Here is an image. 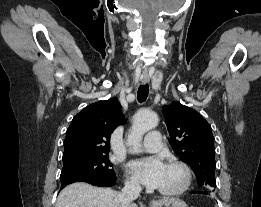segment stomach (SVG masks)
Masks as SVG:
<instances>
[{
	"mask_svg": "<svg viewBox=\"0 0 261 207\" xmlns=\"http://www.w3.org/2000/svg\"><path fill=\"white\" fill-rule=\"evenodd\" d=\"M151 207H188L187 204L178 198L166 197L161 200H156Z\"/></svg>",
	"mask_w": 261,
	"mask_h": 207,
	"instance_id": "1",
	"label": "stomach"
}]
</instances>
